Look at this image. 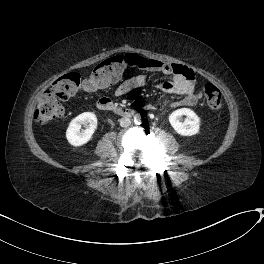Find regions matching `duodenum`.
Segmentation results:
<instances>
[{"label": "duodenum", "mask_w": 264, "mask_h": 264, "mask_svg": "<svg viewBox=\"0 0 264 264\" xmlns=\"http://www.w3.org/2000/svg\"><path fill=\"white\" fill-rule=\"evenodd\" d=\"M97 108L100 111L112 112L122 117H131L134 115L135 111L127 107H119L113 104V102L108 98H101L97 102Z\"/></svg>", "instance_id": "1"}]
</instances>
